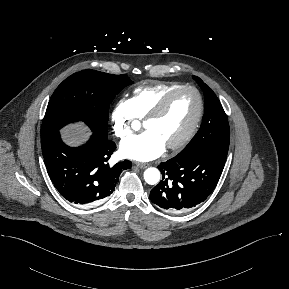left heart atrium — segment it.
<instances>
[{"label":"left heart atrium","mask_w":289,"mask_h":289,"mask_svg":"<svg viewBox=\"0 0 289 289\" xmlns=\"http://www.w3.org/2000/svg\"><path fill=\"white\" fill-rule=\"evenodd\" d=\"M165 150L164 143L152 131L126 138L120 144L122 156L138 161H149L159 157Z\"/></svg>","instance_id":"left-heart-atrium-1"}]
</instances>
